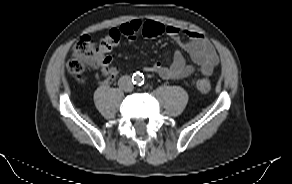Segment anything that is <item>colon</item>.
I'll list each match as a JSON object with an SVG mask.
<instances>
[{
	"instance_id": "colon-1",
	"label": "colon",
	"mask_w": 292,
	"mask_h": 184,
	"mask_svg": "<svg viewBox=\"0 0 292 184\" xmlns=\"http://www.w3.org/2000/svg\"><path fill=\"white\" fill-rule=\"evenodd\" d=\"M163 34V26L156 21H145L142 29V35L147 39H153ZM121 38V33L118 29H111L105 34L98 43L87 35L81 36L73 46L72 58L68 62V70L73 77L84 82V71L88 67L94 65L95 54L100 51H110L115 48ZM194 87L206 93L210 90L211 84L208 79L200 78L193 81Z\"/></svg>"
}]
</instances>
